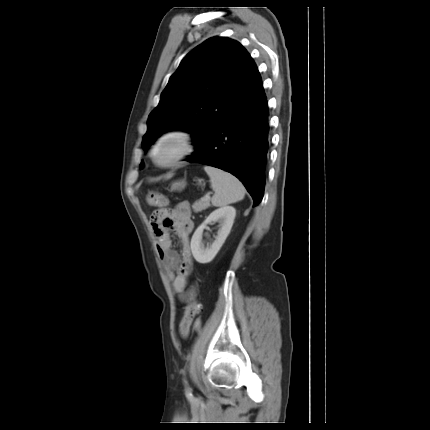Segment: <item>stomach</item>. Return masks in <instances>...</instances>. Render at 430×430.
Masks as SVG:
<instances>
[{
    "label": "stomach",
    "instance_id": "obj_1",
    "mask_svg": "<svg viewBox=\"0 0 430 430\" xmlns=\"http://www.w3.org/2000/svg\"><path fill=\"white\" fill-rule=\"evenodd\" d=\"M184 186H185V183L184 182H174L173 184H172V186H171V189L172 190H180V189H182V188H184Z\"/></svg>",
    "mask_w": 430,
    "mask_h": 430
}]
</instances>
